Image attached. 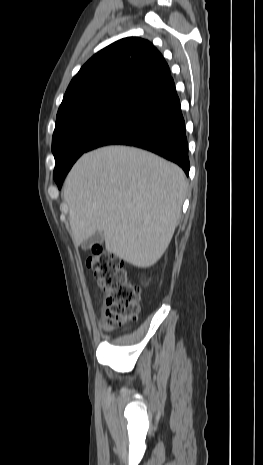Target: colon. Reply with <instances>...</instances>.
Listing matches in <instances>:
<instances>
[{
	"label": "colon",
	"mask_w": 263,
	"mask_h": 465,
	"mask_svg": "<svg viewBox=\"0 0 263 465\" xmlns=\"http://www.w3.org/2000/svg\"><path fill=\"white\" fill-rule=\"evenodd\" d=\"M87 265L93 270L105 294L104 327L113 330L136 320L140 309L139 295L128 280L123 262L106 252L101 245H95Z\"/></svg>",
	"instance_id": "obj_1"
}]
</instances>
